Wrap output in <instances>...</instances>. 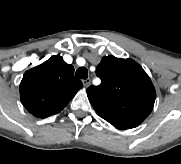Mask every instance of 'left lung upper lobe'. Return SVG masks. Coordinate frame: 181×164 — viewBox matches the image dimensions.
Returning a JSON list of instances; mask_svg holds the SVG:
<instances>
[{
    "label": "left lung upper lobe",
    "mask_w": 181,
    "mask_h": 164,
    "mask_svg": "<svg viewBox=\"0 0 181 164\" xmlns=\"http://www.w3.org/2000/svg\"><path fill=\"white\" fill-rule=\"evenodd\" d=\"M96 75L101 84L91 85L87 95L100 117L115 127L134 128L150 114L156 98L155 88L134 60L104 57Z\"/></svg>",
    "instance_id": "5c2ea615"
}]
</instances>
